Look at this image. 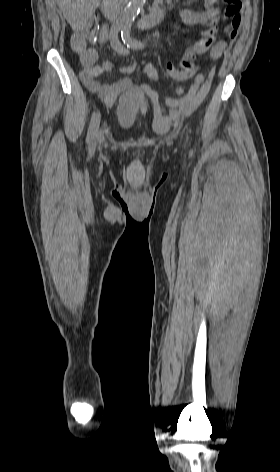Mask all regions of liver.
Here are the masks:
<instances>
[{"label": "liver", "instance_id": "1", "mask_svg": "<svg viewBox=\"0 0 280 472\" xmlns=\"http://www.w3.org/2000/svg\"><path fill=\"white\" fill-rule=\"evenodd\" d=\"M57 5L74 31L86 25L101 0H56Z\"/></svg>", "mask_w": 280, "mask_h": 472}]
</instances>
